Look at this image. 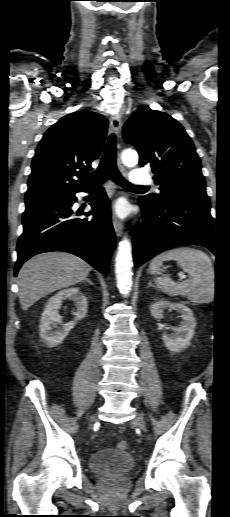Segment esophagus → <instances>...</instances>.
I'll use <instances>...</instances> for the list:
<instances>
[{"instance_id": "1", "label": "esophagus", "mask_w": 230, "mask_h": 517, "mask_svg": "<svg viewBox=\"0 0 230 517\" xmlns=\"http://www.w3.org/2000/svg\"><path fill=\"white\" fill-rule=\"evenodd\" d=\"M121 126L122 123L120 116L114 115L110 120V128L116 136L120 134ZM112 224L117 236H121L123 225L122 222L115 215L112 216Z\"/></svg>"}]
</instances>
